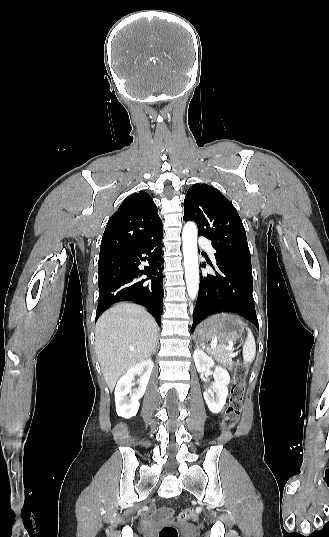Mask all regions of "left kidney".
<instances>
[{
  "mask_svg": "<svg viewBox=\"0 0 329 537\" xmlns=\"http://www.w3.org/2000/svg\"><path fill=\"white\" fill-rule=\"evenodd\" d=\"M193 358L197 371L201 374L214 367V383L211 389H207L204 392V399L212 413H219L226 403L230 383L229 373L221 366H215L214 360L200 349L194 351ZM214 393L216 394L215 396Z\"/></svg>",
  "mask_w": 329,
  "mask_h": 537,
  "instance_id": "5707ae66",
  "label": "left kidney"
}]
</instances>
